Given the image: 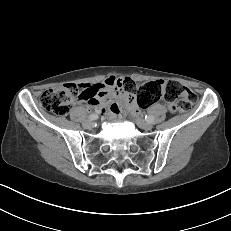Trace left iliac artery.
Listing matches in <instances>:
<instances>
[{"mask_svg": "<svg viewBox=\"0 0 231 231\" xmlns=\"http://www.w3.org/2000/svg\"><path fill=\"white\" fill-rule=\"evenodd\" d=\"M145 120H146L147 122L151 123V122H153L154 118H153V116H151V115H146V116H145Z\"/></svg>", "mask_w": 231, "mask_h": 231, "instance_id": "1", "label": "left iliac artery"}]
</instances>
